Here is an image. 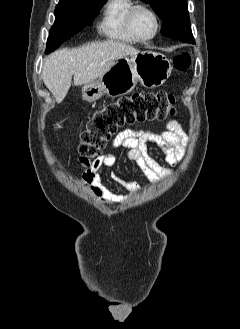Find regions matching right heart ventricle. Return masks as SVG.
I'll use <instances>...</instances> for the list:
<instances>
[{"label":"right heart ventricle","mask_w":240,"mask_h":329,"mask_svg":"<svg viewBox=\"0 0 240 329\" xmlns=\"http://www.w3.org/2000/svg\"><path fill=\"white\" fill-rule=\"evenodd\" d=\"M135 4V0H109L104 7L99 30L113 41L135 42L126 26L127 15Z\"/></svg>","instance_id":"e07e8e85"}]
</instances>
